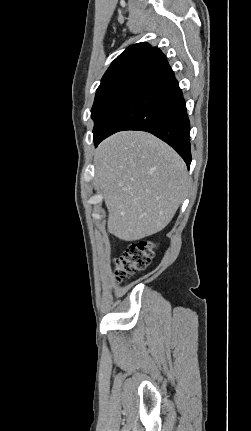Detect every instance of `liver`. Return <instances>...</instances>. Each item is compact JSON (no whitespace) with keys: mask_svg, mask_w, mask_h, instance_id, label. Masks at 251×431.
Here are the masks:
<instances>
[{"mask_svg":"<svg viewBox=\"0 0 251 431\" xmlns=\"http://www.w3.org/2000/svg\"><path fill=\"white\" fill-rule=\"evenodd\" d=\"M95 179L108 209V230L135 241L163 230L185 196L188 173L166 143L142 131H122L101 142Z\"/></svg>","mask_w":251,"mask_h":431,"instance_id":"1","label":"liver"}]
</instances>
